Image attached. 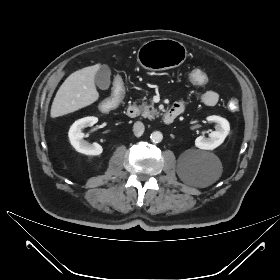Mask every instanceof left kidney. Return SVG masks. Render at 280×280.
I'll return each instance as SVG.
<instances>
[{"mask_svg":"<svg viewBox=\"0 0 280 280\" xmlns=\"http://www.w3.org/2000/svg\"><path fill=\"white\" fill-rule=\"evenodd\" d=\"M207 121L216 123V131L209 134V137L199 136L195 140V146L202 150H213L220 146L230 131L229 122L220 116H208Z\"/></svg>","mask_w":280,"mask_h":280,"instance_id":"5707ae66","label":"left kidney"}]
</instances>
